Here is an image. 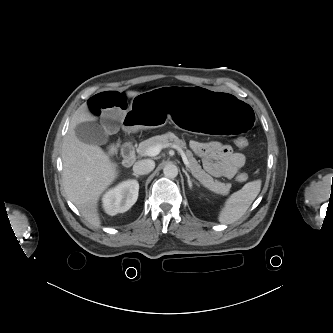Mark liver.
<instances>
[{"label": "liver", "instance_id": "6515ba94", "mask_svg": "<svg viewBox=\"0 0 333 333\" xmlns=\"http://www.w3.org/2000/svg\"><path fill=\"white\" fill-rule=\"evenodd\" d=\"M138 94L136 91L126 92L129 97ZM94 120L86 103L74 113L62 144V162L66 196L90 224L98 227L101 224L99 197L115 180L118 172L117 165L100 147L81 142L75 134L78 124Z\"/></svg>", "mask_w": 333, "mask_h": 333}]
</instances>
